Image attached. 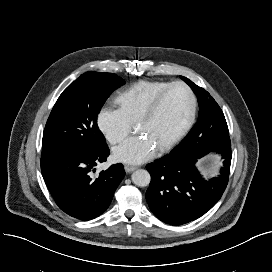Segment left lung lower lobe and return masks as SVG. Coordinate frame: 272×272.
<instances>
[{"label":"left lung lower lobe","instance_id":"left-lung-lower-lobe-1","mask_svg":"<svg viewBox=\"0 0 272 272\" xmlns=\"http://www.w3.org/2000/svg\"><path fill=\"white\" fill-rule=\"evenodd\" d=\"M217 152L224 166L216 178L205 180L196 168L198 159ZM231 146L223 149L177 146L170 154L146 166L151 182L146 200L161 221L182 225L210 210L221 198L229 178Z\"/></svg>","mask_w":272,"mask_h":272}]
</instances>
